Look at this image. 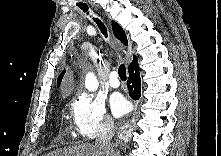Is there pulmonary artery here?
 <instances>
[{
	"mask_svg": "<svg viewBox=\"0 0 221 156\" xmlns=\"http://www.w3.org/2000/svg\"><path fill=\"white\" fill-rule=\"evenodd\" d=\"M109 84L112 88H118L120 86V81L118 79V73L116 71H112L110 73Z\"/></svg>",
	"mask_w": 221,
	"mask_h": 156,
	"instance_id": "1",
	"label": "pulmonary artery"
}]
</instances>
